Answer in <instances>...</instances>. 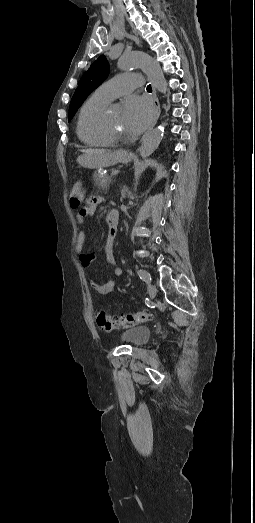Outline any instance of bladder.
Instances as JSON below:
<instances>
[{
	"mask_svg": "<svg viewBox=\"0 0 255 523\" xmlns=\"http://www.w3.org/2000/svg\"><path fill=\"white\" fill-rule=\"evenodd\" d=\"M150 328L146 326L129 327L122 334L121 337L126 340L129 345H142L150 338Z\"/></svg>",
	"mask_w": 255,
	"mask_h": 523,
	"instance_id": "bladder-1",
	"label": "bladder"
}]
</instances>
